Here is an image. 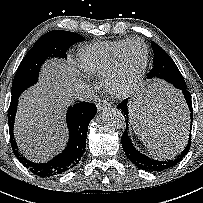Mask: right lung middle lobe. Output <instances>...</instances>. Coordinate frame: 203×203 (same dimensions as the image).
I'll use <instances>...</instances> for the list:
<instances>
[{
    "label": "right lung middle lobe",
    "mask_w": 203,
    "mask_h": 203,
    "mask_svg": "<svg viewBox=\"0 0 203 203\" xmlns=\"http://www.w3.org/2000/svg\"><path fill=\"white\" fill-rule=\"evenodd\" d=\"M84 38L74 32L53 30L42 36L23 58L12 84L11 100L38 80L41 65L48 58H67V49Z\"/></svg>",
    "instance_id": "obj_1"
}]
</instances>
